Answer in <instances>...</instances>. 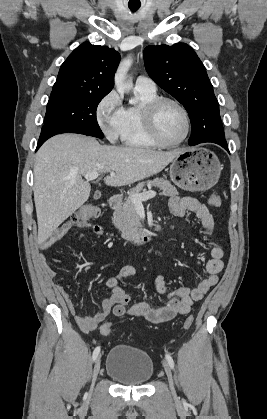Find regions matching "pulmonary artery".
<instances>
[{"mask_svg":"<svg viewBox=\"0 0 267 419\" xmlns=\"http://www.w3.org/2000/svg\"><path fill=\"white\" fill-rule=\"evenodd\" d=\"M135 89L150 92L156 91V84L151 78L140 75L135 80Z\"/></svg>","mask_w":267,"mask_h":419,"instance_id":"e3ab8cb5","label":"pulmonary artery"}]
</instances>
